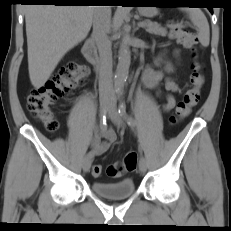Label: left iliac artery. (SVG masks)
I'll return each instance as SVG.
<instances>
[{
  "label": "left iliac artery",
  "mask_w": 231,
  "mask_h": 231,
  "mask_svg": "<svg viewBox=\"0 0 231 231\" xmlns=\"http://www.w3.org/2000/svg\"><path fill=\"white\" fill-rule=\"evenodd\" d=\"M118 99H119V114L125 119L126 123L130 126L133 127L136 125L135 121L131 119L126 112V103L125 100L123 99V90H118L117 91Z\"/></svg>",
  "instance_id": "obj_1"
}]
</instances>
